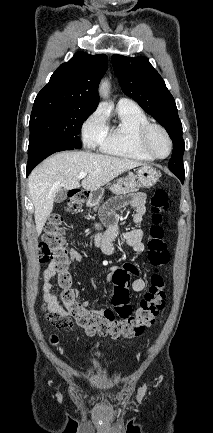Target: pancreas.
Returning a JSON list of instances; mask_svg holds the SVG:
<instances>
[{
    "mask_svg": "<svg viewBox=\"0 0 213 433\" xmlns=\"http://www.w3.org/2000/svg\"><path fill=\"white\" fill-rule=\"evenodd\" d=\"M109 189L116 195H121L125 193H132L139 190V185L137 182L130 177L120 178L115 184L111 185ZM101 198L98 199V202ZM99 203L95 204L94 210L98 208Z\"/></svg>",
    "mask_w": 213,
    "mask_h": 433,
    "instance_id": "obj_1",
    "label": "pancreas"
}]
</instances>
